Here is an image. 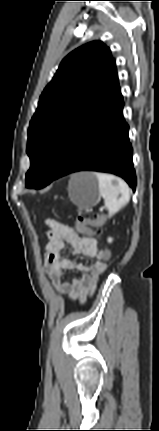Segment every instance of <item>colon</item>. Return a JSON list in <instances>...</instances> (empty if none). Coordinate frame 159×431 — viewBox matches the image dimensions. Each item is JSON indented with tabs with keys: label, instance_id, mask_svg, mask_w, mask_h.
<instances>
[{
	"label": "colon",
	"instance_id": "obj_1",
	"mask_svg": "<svg viewBox=\"0 0 159 431\" xmlns=\"http://www.w3.org/2000/svg\"><path fill=\"white\" fill-rule=\"evenodd\" d=\"M99 222L98 216L90 217V219H76V228L82 233H88V237H95V232L103 231L102 227H97L99 226ZM112 254L111 250L105 249L101 252L100 256H103L109 262L112 259Z\"/></svg>",
	"mask_w": 159,
	"mask_h": 431
}]
</instances>
